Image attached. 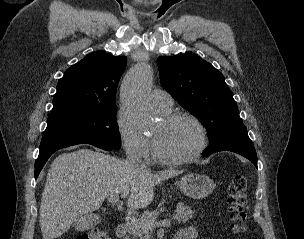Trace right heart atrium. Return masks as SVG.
<instances>
[{
  "mask_svg": "<svg viewBox=\"0 0 304 239\" xmlns=\"http://www.w3.org/2000/svg\"><path fill=\"white\" fill-rule=\"evenodd\" d=\"M117 128L123 148L127 155L134 158H146L150 152V141L132 122L125 110L117 115Z\"/></svg>",
  "mask_w": 304,
  "mask_h": 239,
  "instance_id": "obj_1",
  "label": "right heart atrium"
}]
</instances>
